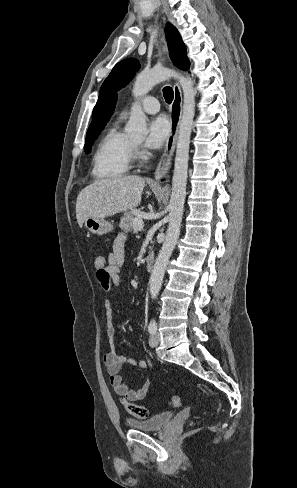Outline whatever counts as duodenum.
Instances as JSON below:
<instances>
[{
	"instance_id": "duodenum-1",
	"label": "duodenum",
	"mask_w": 297,
	"mask_h": 488,
	"mask_svg": "<svg viewBox=\"0 0 297 488\" xmlns=\"http://www.w3.org/2000/svg\"><path fill=\"white\" fill-rule=\"evenodd\" d=\"M154 260H155V255L153 252H149L146 256V259H145V262H146V265L147 267H151L154 263Z\"/></svg>"
}]
</instances>
